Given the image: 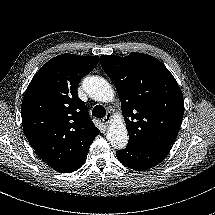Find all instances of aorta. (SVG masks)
<instances>
[{
	"label": "aorta",
	"instance_id": "obj_1",
	"mask_svg": "<svg viewBox=\"0 0 215 215\" xmlns=\"http://www.w3.org/2000/svg\"><path fill=\"white\" fill-rule=\"evenodd\" d=\"M89 95L98 102H111L115 98L112 85L102 77H90ZM107 140L115 149L125 148L129 134L125 122L117 121L109 126Z\"/></svg>",
	"mask_w": 215,
	"mask_h": 215
}]
</instances>
